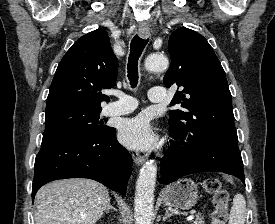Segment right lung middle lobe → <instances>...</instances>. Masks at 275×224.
<instances>
[{"instance_id":"obj_1","label":"right lung middle lobe","mask_w":275,"mask_h":224,"mask_svg":"<svg viewBox=\"0 0 275 224\" xmlns=\"http://www.w3.org/2000/svg\"><path fill=\"white\" fill-rule=\"evenodd\" d=\"M101 108L64 107L45 115V131L49 134H65L90 137L106 133L108 126L99 120Z\"/></svg>"}]
</instances>
